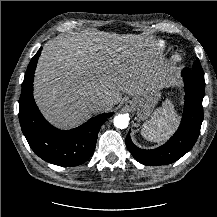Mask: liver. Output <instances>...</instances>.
Here are the masks:
<instances>
[{"label": "liver", "mask_w": 217, "mask_h": 217, "mask_svg": "<svg viewBox=\"0 0 217 217\" xmlns=\"http://www.w3.org/2000/svg\"><path fill=\"white\" fill-rule=\"evenodd\" d=\"M132 40L95 32L58 35L41 52L34 81L36 102L51 123L75 127L93 113L89 104L106 99L111 109L122 94L157 90Z\"/></svg>", "instance_id": "1"}]
</instances>
